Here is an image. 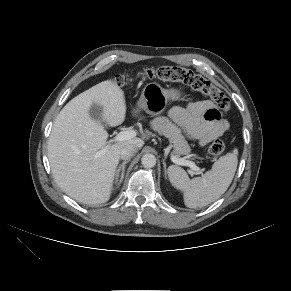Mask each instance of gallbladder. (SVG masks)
<instances>
[{
	"label": "gallbladder",
	"mask_w": 291,
	"mask_h": 291,
	"mask_svg": "<svg viewBox=\"0 0 291 291\" xmlns=\"http://www.w3.org/2000/svg\"><path fill=\"white\" fill-rule=\"evenodd\" d=\"M102 112V107L95 103L92 104L89 111L91 118L97 121H102Z\"/></svg>",
	"instance_id": "gallbladder-1"
}]
</instances>
